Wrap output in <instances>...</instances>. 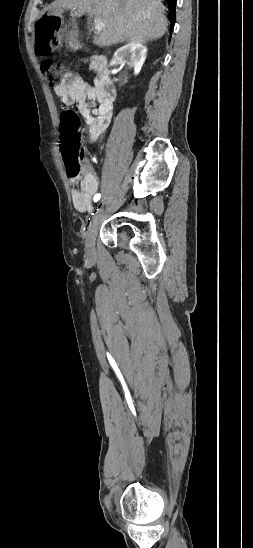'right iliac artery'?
Instances as JSON below:
<instances>
[{
    "mask_svg": "<svg viewBox=\"0 0 253 548\" xmlns=\"http://www.w3.org/2000/svg\"><path fill=\"white\" fill-rule=\"evenodd\" d=\"M101 197V194H96L93 198L94 202H97Z\"/></svg>",
    "mask_w": 253,
    "mask_h": 548,
    "instance_id": "1",
    "label": "right iliac artery"
}]
</instances>
